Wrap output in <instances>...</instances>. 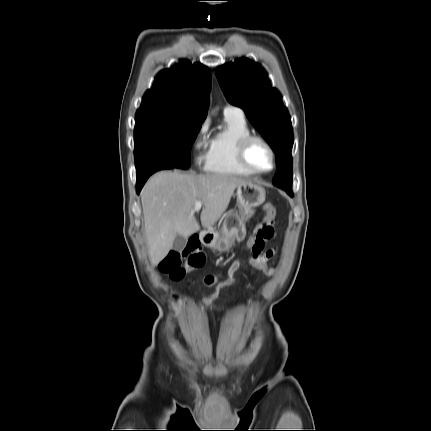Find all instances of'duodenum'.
Listing matches in <instances>:
<instances>
[{
    "mask_svg": "<svg viewBox=\"0 0 431 431\" xmlns=\"http://www.w3.org/2000/svg\"><path fill=\"white\" fill-rule=\"evenodd\" d=\"M207 236H208V235H207V233H206V232L201 231V232H199V233H197V234H194V235L191 237V242H196V241H199V240H204Z\"/></svg>",
    "mask_w": 431,
    "mask_h": 431,
    "instance_id": "1",
    "label": "duodenum"
}]
</instances>
